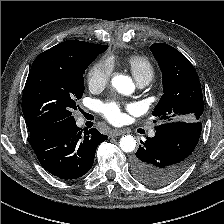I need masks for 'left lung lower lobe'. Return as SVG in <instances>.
Returning a JSON list of instances; mask_svg holds the SVG:
<instances>
[{
	"instance_id": "0a47b994",
	"label": "left lung lower lobe",
	"mask_w": 224,
	"mask_h": 224,
	"mask_svg": "<svg viewBox=\"0 0 224 224\" xmlns=\"http://www.w3.org/2000/svg\"><path fill=\"white\" fill-rule=\"evenodd\" d=\"M156 134L141 142L132 160L134 176L152 186H163L177 179L188 167L200 138L201 121L163 123Z\"/></svg>"
}]
</instances>
